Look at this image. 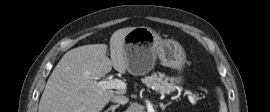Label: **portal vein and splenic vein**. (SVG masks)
<instances>
[{
	"mask_svg": "<svg viewBox=\"0 0 270 112\" xmlns=\"http://www.w3.org/2000/svg\"><path fill=\"white\" fill-rule=\"evenodd\" d=\"M98 86L101 87L102 89H117V90L126 89V84L122 80L117 78L112 80L99 81ZM186 95L189 101L192 104H195V99L188 92H186Z\"/></svg>",
	"mask_w": 270,
	"mask_h": 112,
	"instance_id": "portal-vein-and-splenic-vein-1",
	"label": "portal vein and splenic vein"
}]
</instances>
